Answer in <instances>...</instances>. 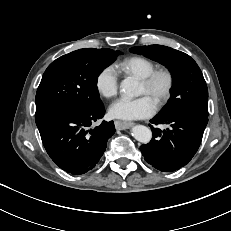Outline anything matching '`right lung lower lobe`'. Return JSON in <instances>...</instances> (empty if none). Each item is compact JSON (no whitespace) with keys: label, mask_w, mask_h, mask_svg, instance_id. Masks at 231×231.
Instances as JSON below:
<instances>
[{"label":"right lung lower lobe","mask_w":231,"mask_h":231,"mask_svg":"<svg viewBox=\"0 0 231 231\" xmlns=\"http://www.w3.org/2000/svg\"><path fill=\"white\" fill-rule=\"evenodd\" d=\"M104 114L102 105L87 112L58 110L36 118L43 145L58 167L80 175L98 163L116 131L113 121L90 129Z\"/></svg>","instance_id":"1"}]
</instances>
